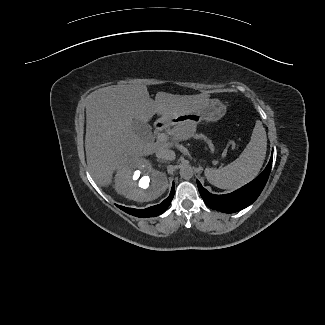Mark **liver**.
<instances>
[{"mask_svg":"<svg viewBox=\"0 0 325 325\" xmlns=\"http://www.w3.org/2000/svg\"><path fill=\"white\" fill-rule=\"evenodd\" d=\"M209 100L208 94L174 95L158 92L149 97L145 85L108 86L92 92L86 105L85 150L89 172L101 186L112 183L113 174L123 166L135 164L173 142H149L134 132L133 121L147 123L154 114L166 118L191 112ZM196 131L195 124H177L173 139L183 141Z\"/></svg>","mask_w":325,"mask_h":325,"instance_id":"1","label":"liver"}]
</instances>
